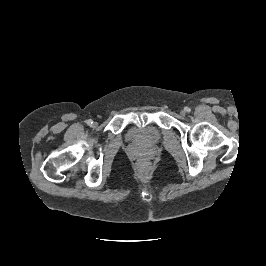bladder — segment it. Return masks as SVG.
I'll return each instance as SVG.
<instances>
[{"label":"bladder","instance_id":"bladder-1","mask_svg":"<svg viewBox=\"0 0 266 266\" xmlns=\"http://www.w3.org/2000/svg\"><path fill=\"white\" fill-rule=\"evenodd\" d=\"M128 140L141 147H152L162 139L161 131L154 125L133 127L128 131Z\"/></svg>","mask_w":266,"mask_h":266}]
</instances>
